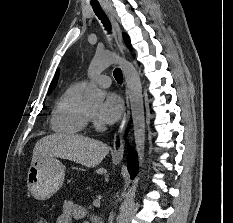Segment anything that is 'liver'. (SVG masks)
<instances>
[{
	"instance_id": "6515ba94",
	"label": "liver",
	"mask_w": 233,
	"mask_h": 223,
	"mask_svg": "<svg viewBox=\"0 0 233 223\" xmlns=\"http://www.w3.org/2000/svg\"><path fill=\"white\" fill-rule=\"evenodd\" d=\"M109 153V147L99 139L84 137L77 133H52L41 137L33 149L32 161L41 155H54L61 159H70L85 167H96ZM96 173H107L105 167H98Z\"/></svg>"
}]
</instances>
